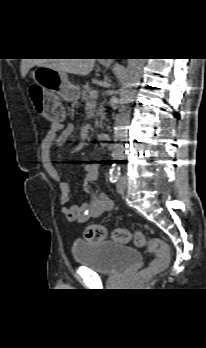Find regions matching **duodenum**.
<instances>
[{
    "label": "duodenum",
    "mask_w": 206,
    "mask_h": 348,
    "mask_svg": "<svg viewBox=\"0 0 206 348\" xmlns=\"http://www.w3.org/2000/svg\"><path fill=\"white\" fill-rule=\"evenodd\" d=\"M110 139V133L109 132H101L99 135H98V140L101 141V142H105V141H108Z\"/></svg>",
    "instance_id": "410a0bca"
}]
</instances>
